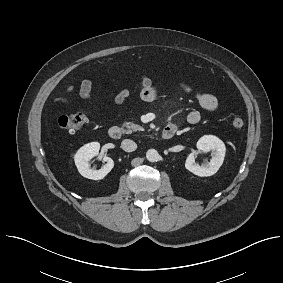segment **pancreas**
Instances as JSON below:
<instances>
[{"instance_id": "1", "label": "pancreas", "mask_w": 283, "mask_h": 283, "mask_svg": "<svg viewBox=\"0 0 283 283\" xmlns=\"http://www.w3.org/2000/svg\"><path fill=\"white\" fill-rule=\"evenodd\" d=\"M122 126L126 128V130H124L126 134H131L133 131L144 130L141 126L134 124L133 122H124Z\"/></svg>"}]
</instances>
